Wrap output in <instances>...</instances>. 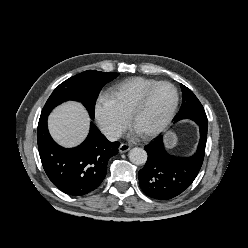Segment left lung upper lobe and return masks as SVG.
I'll return each mask as SVG.
<instances>
[{
  "instance_id": "5c2ea615",
  "label": "left lung upper lobe",
  "mask_w": 248,
  "mask_h": 248,
  "mask_svg": "<svg viewBox=\"0 0 248 248\" xmlns=\"http://www.w3.org/2000/svg\"><path fill=\"white\" fill-rule=\"evenodd\" d=\"M181 90L182 106L179 113L175 117V122L184 118H207L202 104L194 93L182 84Z\"/></svg>"
}]
</instances>
